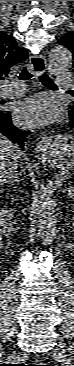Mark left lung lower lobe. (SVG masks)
<instances>
[{
    "label": "left lung lower lobe",
    "mask_w": 74,
    "mask_h": 366,
    "mask_svg": "<svg viewBox=\"0 0 74 366\" xmlns=\"http://www.w3.org/2000/svg\"><path fill=\"white\" fill-rule=\"evenodd\" d=\"M70 119H71V122H72V125L74 127V107H72V110L70 111Z\"/></svg>",
    "instance_id": "left-lung-lower-lobe-1"
}]
</instances>
